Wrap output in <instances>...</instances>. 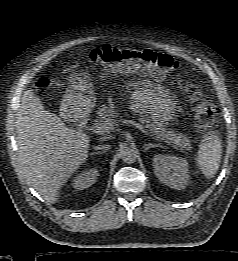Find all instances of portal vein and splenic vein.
Returning <instances> with one entry per match:
<instances>
[{
  "instance_id": "1",
  "label": "portal vein and splenic vein",
  "mask_w": 238,
  "mask_h": 261,
  "mask_svg": "<svg viewBox=\"0 0 238 261\" xmlns=\"http://www.w3.org/2000/svg\"><path fill=\"white\" fill-rule=\"evenodd\" d=\"M121 122L124 123V124H129V125L135 126L137 129L141 130L146 135L152 136V134L150 132H148V130L144 126H142L141 124L137 123L136 121H133V120H121ZM114 126L115 125H114L113 122L101 121V122L96 123L93 126V130H94L95 133L103 135L105 133H108V132L114 130L115 129Z\"/></svg>"
}]
</instances>
